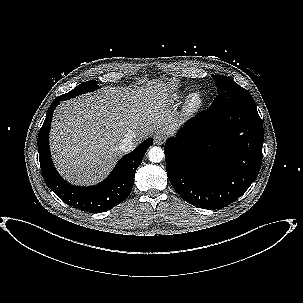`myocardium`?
<instances>
[{"label": "myocardium", "instance_id": "1", "mask_svg": "<svg viewBox=\"0 0 303 303\" xmlns=\"http://www.w3.org/2000/svg\"><path fill=\"white\" fill-rule=\"evenodd\" d=\"M203 104V97L200 92H192L186 100V109L188 111H196Z\"/></svg>", "mask_w": 303, "mask_h": 303}]
</instances>
